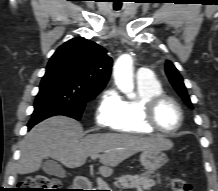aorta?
<instances>
[{"label":"aorta","mask_w":218,"mask_h":191,"mask_svg":"<svg viewBox=\"0 0 218 191\" xmlns=\"http://www.w3.org/2000/svg\"><path fill=\"white\" fill-rule=\"evenodd\" d=\"M113 76L117 87L126 94L129 99L135 98L133 92V60L128 54L121 55L113 68Z\"/></svg>","instance_id":"1"}]
</instances>
